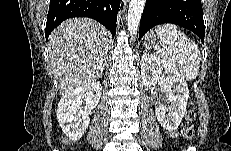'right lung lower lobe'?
Returning a JSON list of instances; mask_svg holds the SVG:
<instances>
[{
    "label": "right lung lower lobe",
    "mask_w": 231,
    "mask_h": 151,
    "mask_svg": "<svg viewBox=\"0 0 231 151\" xmlns=\"http://www.w3.org/2000/svg\"><path fill=\"white\" fill-rule=\"evenodd\" d=\"M120 0H50L46 40L61 22L73 17L93 18L115 35Z\"/></svg>",
    "instance_id": "right-lung-lower-lobe-1"
}]
</instances>
